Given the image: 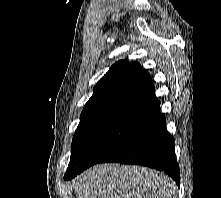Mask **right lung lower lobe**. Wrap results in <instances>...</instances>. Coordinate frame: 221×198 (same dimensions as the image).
<instances>
[{
	"label": "right lung lower lobe",
	"instance_id": "98d812e1",
	"mask_svg": "<svg viewBox=\"0 0 221 198\" xmlns=\"http://www.w3.org/2000/svg\"><path fill=\"white\" fill-rule=\"evenodd\" d=\"M174 148V138L167 132L166 119L159 110L98 163L117 162L151 167L171 176L179 186L180 171Z\"/></svg>",
	"mask_w": 221,
	"mask_h": 198
}]
</instances>
